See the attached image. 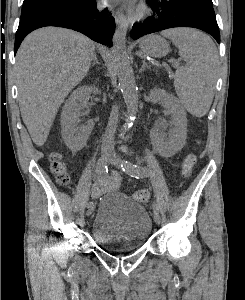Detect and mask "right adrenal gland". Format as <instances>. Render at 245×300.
I'll use <instances>...</instances> for the list:
<instances>
[{
  "instance_id": "obj_1",
  "label": "right adrenal gland",
  "mask_w": 245,
  "mask_h": 300,
  "mask_svg": "<svg viewBox=\"0 0 245 300\" xmlns=\"http://www.w3.org/2000/svg\"><path fill=\"white\" fill-rule=\"evenodd\" d=\"M96 64H100V62L98 61L97 56H96V54H95V55H94V59H93L92 66H94V65H96Z\"/></svg>"
}]
</instances>
